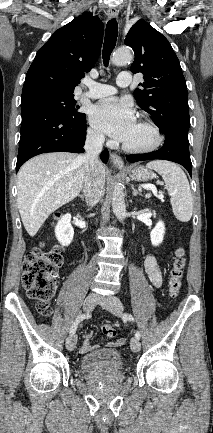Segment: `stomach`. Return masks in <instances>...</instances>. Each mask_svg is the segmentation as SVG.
I'll list each match as a JSON object with an SVG mask.
<instances>
[{"mask_svg":"<svg viewBox=\"0 0 213 433\" xmlns=\"http://www.w3.org/2000/svg\"><path fill=\"white\" fill-rule=\"evenodd\" d=\"M126 172L137 181H147L154 178V173L140 165H131L126 169Z\"/></svg>","mask_w":213,"mask_h":433,"instance_id":"obj_1","label":"stomach"}]
</instances>
